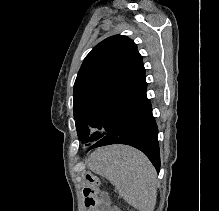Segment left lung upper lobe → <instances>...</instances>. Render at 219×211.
<instances>
[{"mask_svg":"<svg viewBox=\"0 0 219 211\" xmlns=\"http://www.w3.org/2000/svg\"><path fill=\"white\" fill-rule=\"evenodd\" d=\"M146 88L145 68L136 44L122 35L100 42L85 57L74 84L78 138L93 142L109 134ZM92 128L104 130L90 135Z\"/></svg>","mask_w":219,"mask_h":211,"instance_id":"obj_1","label":"left lung upper lobe"}]
</instances>
